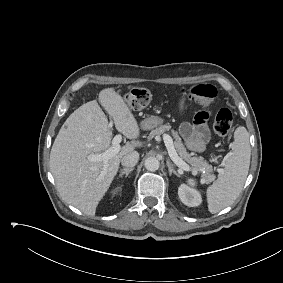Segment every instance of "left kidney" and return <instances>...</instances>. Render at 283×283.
Wrapping results in <instances>:
<instances>
[{"instance_id": "1", "label": "left kidney", "mask_w": 283, "mask_h": 283, "mask_svg": "<svg viewBox=\"0 0 283 283\" xmlns=\"http://www.w3.org/2000/svg\"><path fill=\"white\" fill-rule=\"evenodd\" d=\"M178 195L182 203L189 207H195L201 204L202 197L199 191L182 184L178 189Z\"/></svg>"}]
</instances>
